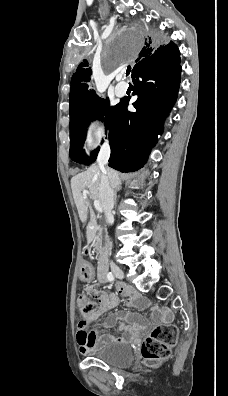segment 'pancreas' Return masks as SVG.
Wrapping results in <instances>:
<instances>
[{"label": "pancreas", "instance_id": "1", "mask_svg": "<svg viewBox=\"0 0 228 396\" xmlns=\"http://www.w3.org/2000/svg\"><path fill=\"white\" fill-rule=\"evenodd\" d=\"M101 245H102L101 232H99V233L97 234L96 241H95L96 249H97L99 252H100Z\"/></svg>", "mask_w": 228, "mask_h": 396}]
</instances>
